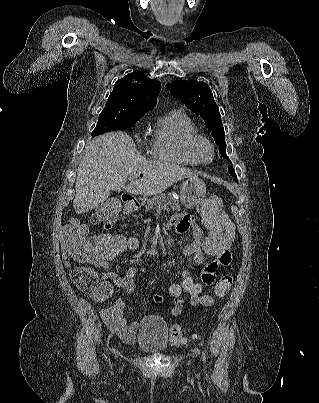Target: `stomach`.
<instances>
[{"label": "stomach", "mask_w": 319, "mask_h": 403, "mask_svg": "<svg viewBox=\"0 0 319 403\" xmlns=\"http://www.w3.org/2000/svg\"><path fill=\"white\" fill-rule=\"evenodd\" d=\"M206 195V184L199 178L189 177L180 187L181 203L187 208L200 204Z\"/></svg>", "instance_id": "stomach-1"}]
</instances>
